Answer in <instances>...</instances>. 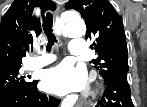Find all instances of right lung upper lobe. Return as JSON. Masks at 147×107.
Wrapping results in <instances>:
<instances>
[{
	"mask_svg": "<svg viewBox=\"0 0 147 107\" xmlns=\"http://www.w3.org/2000/svg\"><path fill=\"white\" fill-rule=\"evenodd\" d=\"M41 12L55 10L52 0H15L0 23V70L21 65L26 51L41 33L40 21L32 16L33 8Z\"/></svg>",
	"mask_w": 147,
	"mask_h": 107,
	"instance_id": "cb5924a9",
	"label": "right lung upper lobe"
}]
</instances>
